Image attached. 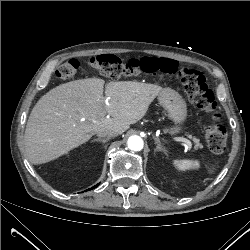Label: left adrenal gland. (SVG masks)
Returning a JSON list of instances; mask_svg holds the SVG:
<instances>
[{"mask_svg": "<svg viewBox=\"0 0 250 250\" xmlns=\"http://www.w3.org/2000/svg\"><path fill=\"white\" fill-rule=\"evenodd\" d=\"M153 138H154L155 144L157 145L155 151H158V152L162 151V152H164L165 154H167V153H166V149L163 148V147L161 146L160 141H159L158 139H156L155 137H153Z\"/></svg>", "mask_w": 250, "mask_h": 250, "instance_id": "1", "label": "left adrenal gland"}]
</instances>
